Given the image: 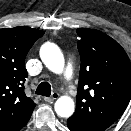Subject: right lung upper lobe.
Returning <instances> with one entry per match:
<instances>
[{
	"label": "right lung upper lobe",
	"instance_id": "right-lung-upper-lobe-1",
	"mask_svg": "<svg viewBox=\"0 0 131 131\" xmlns=\"http://www.w3.org/2000/svg\"><path fill=\"white\" fill-rule=\"evenodd\" d=\"M43 31L27 26L0 29V131H19L35 103L24 92L25 57Z\"/></svg>",
	"mask_w": 131,
	"mask_h": 131
}]
</instances>
